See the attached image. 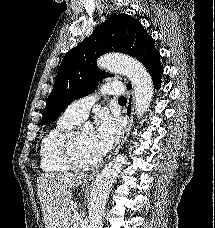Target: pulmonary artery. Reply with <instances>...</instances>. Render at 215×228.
I'll use <instances>...</instances> for the list:
<instances>
[{
  "label": "pulmonary artery",
  "mask_w": 215,
  "mask_h": 228,
  "mask_svg": "<svg viewBox=\"0 0 215 228\" xmlns=\"http://www.w3.org/2000/svg\"><path fill=\"white\" fill-rule=\"evenodd\" d=\"M102 95H115V96H127L128 88H125V84H120V82H107V84L102 85ZM99 99V95H92L89 97L78 99L72 102L67 107V112L80 121H83L90 109V107L95 104Z\"/></svg>",
  "instance_id": "pulmonary-artery-1"
}]
</instances>
